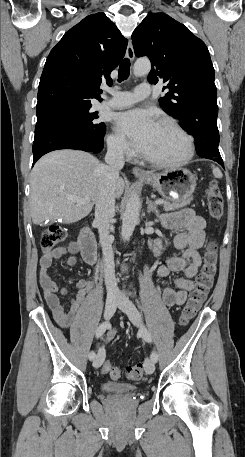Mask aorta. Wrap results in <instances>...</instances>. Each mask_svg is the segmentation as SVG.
Returning a JSON list of instances; mask_svg holds the SVG:
<instances>
[{
	"instance_id": "obj_1",
	"label": "aorta",
	"mask_w": 245,
	"mask_h": 457,
	"mask_svg": "<svg viewBox=\"0 0 245 457\" xmlns=\"http://www.w3.org/2000/svg\"><path fill=\"white\" fill-rule=\"evenodd\" d=\"M151 63L148 59H138L133 67L135 76H143L149 73ZM140 210V198L137 193L129 197L122 220V237L128 239L133 234L135 225L138 222Z\"/></svg>"
}]
</instances>
